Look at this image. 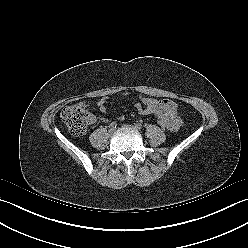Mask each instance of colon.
Segmentation results:
<instances>
[{
  "label": "colon",
  "instance_id": "1",
  "mask_svg": "<svg viewBox=\"0 0 248 248\" xmlns=\"http://www.w3.org/2000/svg\"><path fill=\"white\" fill-rule=\"evenodd\" d=\"M61 118L72 135H83L91 121L90 106L84 102L69 105L62 110ZM157 123L161 128L169 129L166 119L159 118Z\"/></svg>",
  "mask_w": 248,
  "mask_h": 248
}]
</instances>
